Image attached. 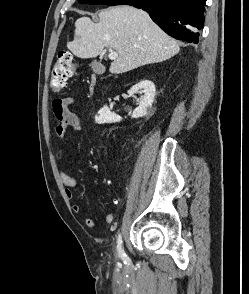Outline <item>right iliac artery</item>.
I'll use <instances>...</instances> for the list:
<instances>
[{
	"mask_svg": "<svg viewBox=\"0 0 249 294\" xmlns=\"http://www.w3.org/2000/svg\"><path fill=\"white\" fill-rule=\"evenodd\" d=\"M117 251H118V255L119 257L124 261L127 262L129 260V258L127 257V255L125 254L124 248H123V241H122V237L121 234L118 235V239H117Z\"/></svg>",
	"mask_w": 249,
	"mask_h": 294,
	"instance_id": "1",
	"label": "right iliac artery"
}]
</instances>
